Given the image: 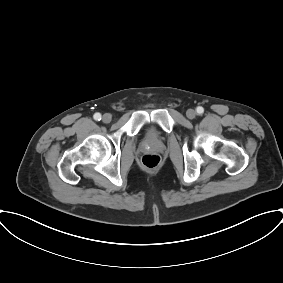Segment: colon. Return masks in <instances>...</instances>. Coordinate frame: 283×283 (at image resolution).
<instances>
[{"instance_id": "colon-1", "label": "colon", "mask_w": 283, "mask_h": 283, "mask_svg": "<svg viewBox=\"0 0 283 283\" xmlns=\"http://www.w3.org/2000/svg\"><path fill=\"white\" fill-rule=\"evenodd\" d=\"M142 165L147 169H155L160 165L161 159L156 154H146L142 157Z\"/></svg>"}]
</instances>
